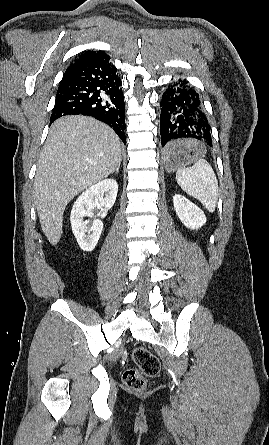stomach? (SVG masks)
Wrapping results in <instances>:
<instances>
[{
    "label": "stomach",
    "instance_id": "0dacf381",
    "mask_svg": "<svg viewBox=\"0 0 269 445\" xmlns=\"http://www.w3.org/2000/svg\"><path fill=\"white\" fill-rule=\"evenodd\" d=\"M188 142H191V146L188 145ZM199 150L200 144L197 141L182 142L177 152L163 154V165L169 172L175 171L179 167H185L198 158Z\"/></svg>",
    "mask_w": 269,
    "mask_h": 445
}]
</instances>
